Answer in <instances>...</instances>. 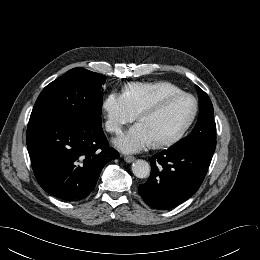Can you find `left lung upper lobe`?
Wrapping results in <instances>:
<instances>
[{
    "label": "left lung upper lobe",
    "mask_w": 260,
    "mask_h": 260,
    "mask_svg": "<svg viewBox=\"0 0 260 260\" xmlns=\"http://www.w3.org/2000/svg\"><path fill=\"white\" fill-rule=\"evenodd\" d=\"M200 114L191 134L177 144L174 148L187 150H202L214 153L216 148V124L213 118V106L208 95L198 86Z\"/></svg>",
    "instance_id": "obj_1"
}]
</instances>
